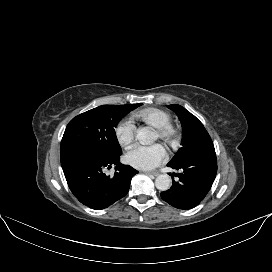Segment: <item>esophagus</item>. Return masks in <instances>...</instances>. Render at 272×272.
Listing matches in <instances>:
<instances>
[{
  "label": "esophagus",
  "mask_w": 272,
  "mask_h": 272,
  "mask_svg": "<svg viewBox=\"0 0 272 272\" xmlns=\"http://www.w3.org/2000/svg\"><path fill=\"white\" fill-rule=\"evenodd\" d=\"M145 174H147V175H153V176H158L159 172H157V171H154V172H145Z\"/></svg>",
  "instance_id": "esophagus-1"
}]
</instances>
